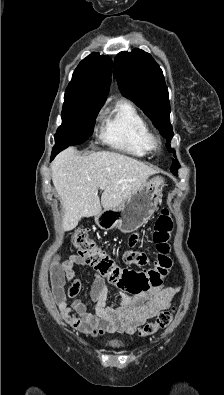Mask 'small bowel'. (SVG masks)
Instances as JSON below:
<instances>
[{
	"label": "small bowel",
	"mask_w": 224,
	"mask_h": 395,
	"mask_svg": "<svg viewBox=\"0 0 224 395\" xmlns=\"http://www.w3.org/2000/svg\"><path fill=\"white\" fill-rule=\"evenodd\" d=\"M137 235H132L129 244L134 247ZM124 260L129 264L145 265L149 258L145 253L128 250ZM85 265L78 255L60 263L53 262L50 269V280L53 295L63 320L73 329L90 336L104 333H134L147 320L155 317L168 308L176 293L175 287H166L162 281L147 291L131 295L122 292L116 303L108 304V287L103 275L95 274L90 290V298L94 305L89 311L84 301L75 299L69 304V299L75 298L81 290V281L75 277V267ZM67 282L70 285L65 289Z\"/></svg>",
	"instance_id": "1"
}]
</instances>
